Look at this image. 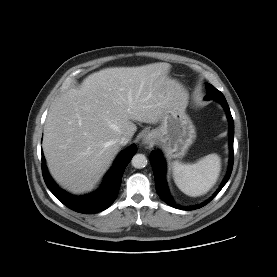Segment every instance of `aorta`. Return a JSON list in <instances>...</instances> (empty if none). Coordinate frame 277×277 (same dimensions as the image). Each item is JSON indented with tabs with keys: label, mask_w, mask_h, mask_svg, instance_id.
I'll return each mask as SVG.
<instances>
[{
	"label": "aorta",
	"mask_w": 277,
	"mask_h": 277,
	"mask_svg": "<svg viewBox=\"0 0 277 277\" xmlns=\"http://www.w3.org/2000/svg\"><path fill=\"white\" fill-rule=\"evenodd\" d=\"M132 166L141 169L147 165V158L144 154H136L131 160Z\"/></svg>",
	"instance_id": "762f6f07"
}]
</instances>
